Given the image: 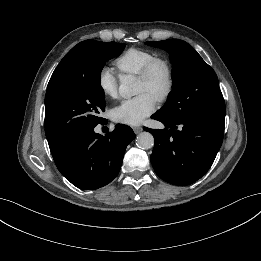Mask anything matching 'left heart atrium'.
I'll list each match as a JSON object with an SVG mask.
<instances>
[{
  "instance_id": "1",
  "label": "left heart atrium",
  "mask_w": 261,
  "mask_h": 261,
  "mask_svg": "<svg viewBox=\"0 0 261 261\" xmlns=\"http://www.w3.org/2000/svg\"><path fill=\"white\" fill-rule=\"evenodd\" d=\"M155 110L156 99L148 93H141L115 106L111 118L117 123L139 125Z\"/></svg>"
}]
</instances>
